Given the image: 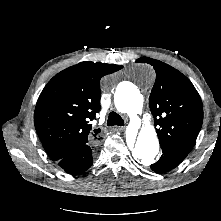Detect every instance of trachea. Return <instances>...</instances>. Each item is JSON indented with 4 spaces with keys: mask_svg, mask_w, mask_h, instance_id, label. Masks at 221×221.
Instances as JSON below:
<instances>
[{
    "mask_svg": "<svg viewBox=\"0 0 221 221\" xmlns=\"http://www.w3.org/2000/svg\"><path fill=\"white\" fill-rule=\"evenodd\" d=\"M107 125L108 126H114V125L123 126L124 120L116 112H111L108 116Z\"/></svg>",
    "mask_w": 221,
    "mask_h": 221,
    "instance_id": "obj_1",
    "label": "trachea"
}]
</instances>
